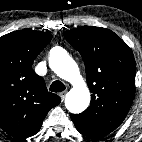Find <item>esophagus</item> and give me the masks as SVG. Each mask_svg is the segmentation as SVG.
Wrapping results in <instances>:
<instances>
[{
    "mask_svg": "<svg viewBox=\"0 0 142 142\" xmlns=\"http://www.w3.org/2000/svg\"><path fill=\"white\" fill-rule=\"evenodd\" d=\"M59 96H60L61 100L63 101L64 98H65V96H66V91L61 92V93L59 94Z\"/></svg>",
    "mask_w": 142,
    "mask_h": 142,
    "instance_id": "esophagus-1",
    "label": "esophagus"
}]
</instances>
